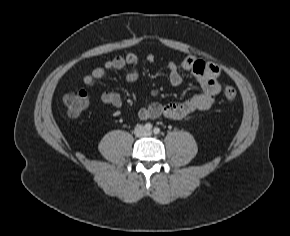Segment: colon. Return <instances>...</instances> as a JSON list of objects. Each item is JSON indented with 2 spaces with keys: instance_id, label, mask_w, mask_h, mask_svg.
Returning a JSON list of instances; mask_svg holds the SVG:
<instances>
[{
  "instance_id": "obj_1",
  "label": "colon",
  "mask_w": 290,
  "mask_h": 236,
  "mask_svg": "<svg viewBox=\"0 0 290 236\" xmlns=\"http://www.w3.org/2000/svg\"><path fill=\"white\" fill-rule=\"evenodd\" d=\"M237 92L233 87L224 89V97L233 100ZM63 102L70 117H78L89 105V97L85 90L69 91L63 96Z\"/></svg>"
}]
</instances>
